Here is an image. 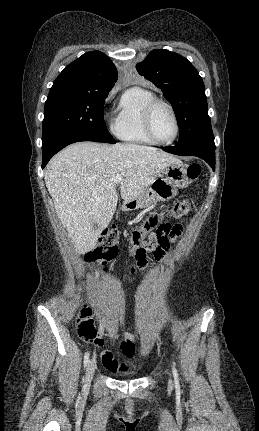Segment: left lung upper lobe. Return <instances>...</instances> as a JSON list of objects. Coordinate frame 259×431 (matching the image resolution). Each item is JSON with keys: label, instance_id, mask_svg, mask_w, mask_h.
Returning <instances> with one entry per match:
<instances>
[{"label": "left lung upper lobe", "instance_id": "1", "mask_svg": "<svg viewBox=\"0 0 259 431\" xmlns=\"http://www.w3.org/2000/svg\"><path fill=\"white\" fill-rule=\"evenodd\" d=\"M136 69L171 103L180 127L178 144H214L203 80L189 60L168 50H153Z\"/></svg>", "mask_w": 259, "mask_h": 431}]
</instances>
